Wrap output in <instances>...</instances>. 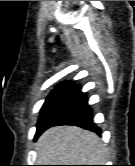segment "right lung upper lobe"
I'll return each instance as SVG.
<instances>
[{
  "mask_svg": "<svg viewBox=\"0 0 135 166\" xmlns=\"http://www.w3.org/2000/svg\"><path fill=\"white\" fill-rule=\"evenodd\" d=\"M69 86H71L70 83L62 82L56 86V88L51 92V94L55 93V92H59L64 89H67V88H69Z\"/></svg>",
  "mask_w": 135,
  "mask_h": 166,
  "instance_id": "obj_1",
  "label": "right lung upper lobe"
}]
</instances>
